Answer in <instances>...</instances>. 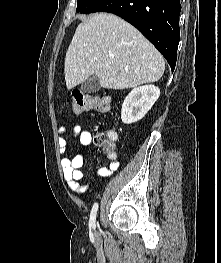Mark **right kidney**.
<instances>
[{"label":"right kidney","instance_id":"right-kidney-1","mask_svg":"<svg viewBox=\"0 0 221 263\" xmlns=\"http://www.w3.org/2000/svg\"><path fill=\"white\" fill-rule=\"evenodd\" d=\"M160 96V89L154 85L135 87L122 104L121 119L124 124L141 120Z\"/></svg>","mask_w":221,"mask_h":263}]
</instances>
